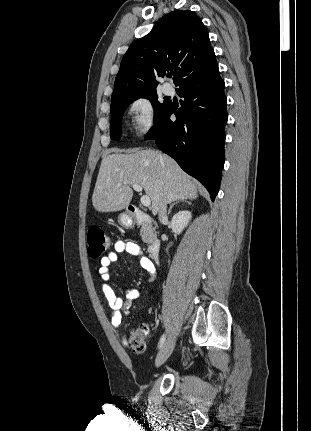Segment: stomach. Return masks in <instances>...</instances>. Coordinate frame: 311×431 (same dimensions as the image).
Returning a JSON list of instances; mask_svg holds the SVG:
<instances>
[{
	"instance_id": "1",
	"label": "stomach",
	"mask_w": 311,
	"mask_h": 431,
	"mask_svg": "<svg viewBox=\"0 0 311 431\" xmlns=\"http://www.w3.org/2000/svg\"><path fill=\"white\" fill-rule=\"evenodd\" d=\"M117 221L121 227H124V229H132V227L135 225L134 217L128 216L126 212L119 214Z\"/></svg>"
}]
</instances>
